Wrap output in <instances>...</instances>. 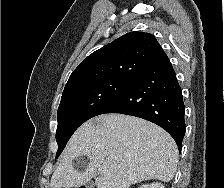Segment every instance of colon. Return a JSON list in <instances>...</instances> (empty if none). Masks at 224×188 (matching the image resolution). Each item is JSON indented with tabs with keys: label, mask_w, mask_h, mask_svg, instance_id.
Masks as SVG:
<instances>
[{
	"label": "colon",
	"mask_w": 224,
	"mask_h": 188,
	"mask_svg": "<svg viewBox=\"0 0 224 188\" xmlns=\"http://www.w3.org/2000/svg\"><path fill=\"white\" fill-rule=\"evenodd\" d=\"M79 188H86V187H84V186H81V187H79Z\"/></svg>",
	"instance_id": "1"
}]
</instances>
